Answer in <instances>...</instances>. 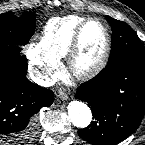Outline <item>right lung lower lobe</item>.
<instances>
[{
	"label": "right lung lower lobe",
	"mask_w": 145,
	"mask_h": 145,
	"mask_svg": "<svg viewBox=\"0 0 145 145\" xmlns=\"http://www.w3.org/2000/svg\"><path fill=\"white\" fill-rule=\"evenodd\" d=\"M17 45L0 46V143L27 145L37 134L36 114L54 99L26 78L27 59ZM1 145V144H0Z\"/></svg>",
	"instance_id": "1"
}]
</instances>
